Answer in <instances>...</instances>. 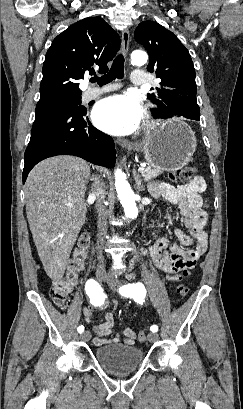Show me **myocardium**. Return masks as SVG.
I'll return each instance as SVG.
<instances>
[{
	"label": "myocardium",
	"mask_w": 243,
	"mask_h": 409,
	"mask_svg": "<svg viewBox=\"0 0 243 409\" xmlns=\"http://www.w3.org/2000/svg\"><path fill=\"white\" fill-rule=\"evenodd\" d=\"M148 125L151 127V126H153L154 124H153V122L148 121Z\"/></svg>",
	"instance_id": "f54148a6"
}]
</instances>
